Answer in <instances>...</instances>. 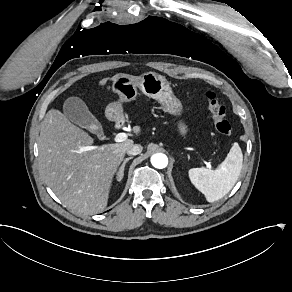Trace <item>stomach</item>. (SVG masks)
I'll use <instances>...</instances> for the list:
<instances>
[{
    "instance_id": "stomach-1",
    "label": "stomach",
    "mask_w": 292,
    "mask_h": 292,
    "mask_svg": "<svg viewBox=\"0 0 292 292\" xmlns=\"http://www.w3.org/2000/svg\"><path fill=\"white\" fill-rule=\"evenodd\" d=\"M137 88L146 96L157 100L165 112L175 116L181 115L182 103L173 95L167 79L156 72H146L135 79L127 74H119L113 80L112 90L119 95V100L110 103L106 107L105 114L107 119L118 121L123 117L122 103L135 100ZM178 130L182 136H185L187 126L182 121H179Z\"/></svg>"
}]
</instances>
